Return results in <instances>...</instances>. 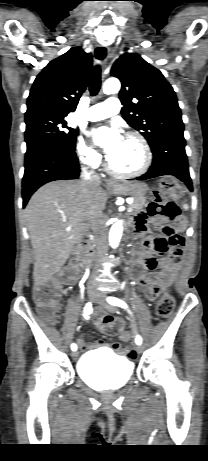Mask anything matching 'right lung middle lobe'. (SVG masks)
<instances>
[{"label":"right lung middle lobe","instance_id":"obj_1","mask_svg":"<svg viewBox=\"0 0 208 461\" xmlns=\"http://www.w3.org/2000/svg\"><path fill=\"white\" fill-rule=\"evenodd\" d=\"M64 117L26 116V154L43 145H56L74 151L78 133L67 126Z\"/></svg>","mask_w":208,"mask_h":461}]
</instances>
